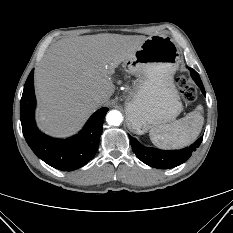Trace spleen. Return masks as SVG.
Wrapping results in <instances>:
<instances>
[{"label":"spleen","mask_w":233,"mask_h":233,"mask_svg":"<svg viewBox=\"0 0 233 233\" xmlns=\"http://www.w3.org/2000/svg\"><path fill=\"white\" fill-rule=\"evenodd\" d=\"M202 106L170 124L160 125L149 131L152 143L162 149H180L193 143L201 132L204 117Z\"/></svg>","instance_id":"1"}]
</instances>
